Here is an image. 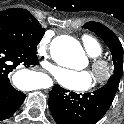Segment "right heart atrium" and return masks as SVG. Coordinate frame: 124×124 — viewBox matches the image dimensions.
Here are the masks:
<instances>
[{
    "label": "right heart atrium",
    "mask_w": 124,
    "mask_h": 124,
    "mask_svg": "<svg viewBox=\"0 0 124 124\" xmlns=\"http://www.w3.org/2000/svg\"><path fill=\"white\" fill-rule=\"evenodd\" d=\"M50 40H51V33H46L39 41L38 52L44 57L48 56Z\"/></svg>",
    "instance_id": "right-heart-atrium-1"
}]
</instances>
